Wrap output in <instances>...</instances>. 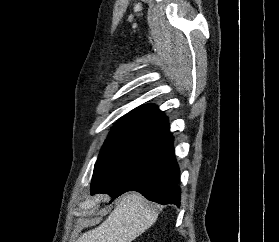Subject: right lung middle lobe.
<instances>
[{
  "mask_svg": "<svg viewBox=\"0 0 279 242\" xmlns=\"http://www.w3.org/2000/svg\"><path fill=\"white\" fill-rule=\"evenodd\" d=\"M163 119L144 114H129L109 133L94 167L93 180L99 182L149 142L160 130Z\"/></svg>",
  "mask_w": 279,
  "mask_h": 242,
  "instance_id": "right-lung-middle-lobe-1",
  "label": "right lung middle lobe"
}]
</instances>
